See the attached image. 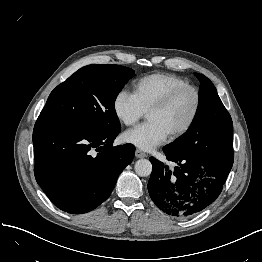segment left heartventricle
Returning <instances> with one entry per match:
<instances>
[{"label": "left heart ventricle", "mask_w": 262, "mask_h": 262, "mask_svg": "<svg viewBox=\"0 0 262 262\" xmlns=\"http://www.w3.org/2000/svg\"><path fill=\"white\" fill-rule=\"evenodd\" d=\"M193 105V95L190 92H185L165 109L149 112L147 120L159 123L166 133L170 135L187 122L192 113Z\"/></svg>", "instance_id": "left-heart-ventricle-1"}]
</instances>
